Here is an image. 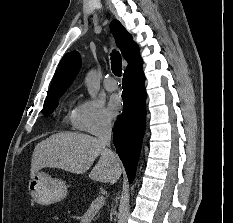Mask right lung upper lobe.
I'll return each mask as SVG.
<instances>
[{
	"label": "right lung upper lobe",
	"instance_id": "cb5924a9",
	"mask_svg": "<svg viewBox=\"0 0 233 223\" xmlns=\"http://www.w3.org/2000/svg\"><path fill=\"white\" fill-rule=\"evenodd\" d=\"M110 28L115 37L117 46L120 48L123 57L128 62L126 71L141 67L142 59L139 56V48L133 41L132 36L118 20L112 21ZM80 65L81 58L77 51L69 52L64 55L54 74L44 105L57 102L76 77Z\"/></svg>",
	"mask_w": 233,
	"mask_h": 223
}]
</instances>
